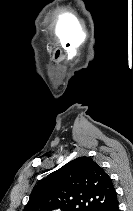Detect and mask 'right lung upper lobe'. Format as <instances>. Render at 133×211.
Returning a JSON list of instances; mask_svg holds the SVG:
<instances>
[{
  "label": "right lung upper lobe",
  "mask_w": 133,
  "mask_h": 211,
  "mask_svg": "<svg viewBox=\"0 0 133 211\" xmlns=\"http://www.w3.org/2000/svg\"><path fill=\"white\" fill-rule=\"evenodd\" d=\"M117 202L103 168L90 157H79L36 185L24 211H108Z\"/></svg>",
  "instance_id": "1"
}]
</instances>
